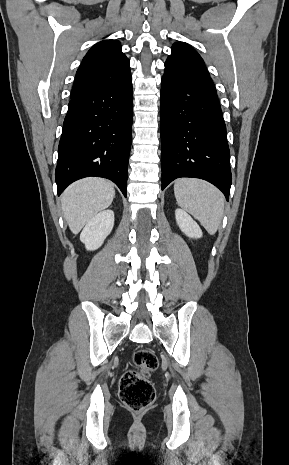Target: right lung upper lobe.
I'll return each instance as SVG.
<instances>
[{
    "instance_id": "right-lung-upper-lobe-1",
    "label": "right lung upper lobe",
    "mask_w": 289,
    "mask_h": 465,
    "mask_svg": "<svg viewBox=\"0 0 289 465\" xmlns=\"http://www.w3.org/2000/svg\"><path fill=\"white\" fill-rule=\"evenodd\" d=\"M129 64L119 41L95 44L76 72L71 99L118 85L131 74Z\"/></svg>"
}]
</instances>
